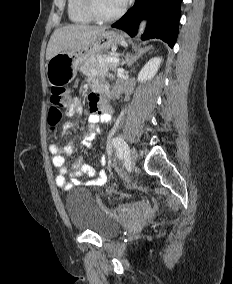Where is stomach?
I'll return each mask as SVG.
<instances>
[{
    "label": "stomach",
    "instance_id": "stomach-1",
    "mask_svg": "<svg viewBox=\"0 0 233 284\" xmlns=\"http://www.w3.org/2000/svg\"><path fill=\"white\" fill-rule=\"evenodd\" d=\"M122 41V33L114 30L104 31L90 44L53 56L46 65L49 84L53 87L68 85L75 79L79 67L85 61Z\"/></svg>",
    "mask_w": 233,
    "mask_h": 284
}]
</instances>
